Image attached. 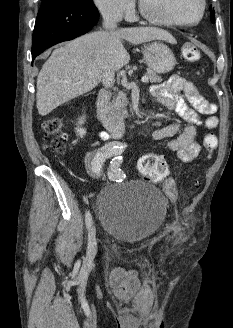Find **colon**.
Returning <instances> with one entry per match:
<instances>
[{
    "mask_svg": "<svg viewBox=\"0 0 233 328\" xmlns=\"http://www.w3.org/2000/svg\"><path fill=\"white\" fill-rule=\"evenodd\" d=\"M183 56L188 61H197L200 58L198 48L187 43L183 46ZM63 122L61 119L54 118L44 123L46 134V147L56 153H62L67 146V135L62 131ZM217 145V138L213 134L206 135L204 147L208 155H211ZM139 170L144 179L158 182L163 180L168 174V166L165 160L155 154H146L139 160Z\"/></svg>",
    "mask_w": 233,
    "mask_h": 328,
    "instance_id": "1",
    "label": "colon"
}]
</instances>
